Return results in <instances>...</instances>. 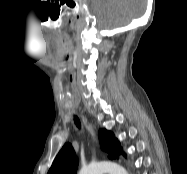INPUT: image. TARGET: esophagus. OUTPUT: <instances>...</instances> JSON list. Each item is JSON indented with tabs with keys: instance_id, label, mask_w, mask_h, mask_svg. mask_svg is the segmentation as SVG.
Masks as SVG:
<instances>
[{
	"instance_id": "1",
	"label": "esophagus",
	"mask_w": 187,
	"mask_h": 174,
	"mask_svg": "<svg viewBox=\"0 0 187 174\" xmlns=\"http://www.w3.org/2000/svg\"><path fill=\"white\" fill-rule=\"evenodd\" d=\"M81 119H82V122L84 123L86 129L90 133V135L93 137V139L95 141H97V138H96V135H95V132H94V129H93L92 125L87 121L86 117L82 114H81Z\"/></svg>"
}]
</instances>
